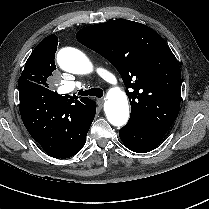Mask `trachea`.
I'll use <instances>...</instances> for the list:
<instances>
[{"label": "trachea", "mask_w": 209, "mask_h": 209, "mask_svg": "<svg viewBox=\"0 0 209 209\" xmlns=\"http://www.w3.org/2000/svg\"><path fill=\"white\" fill-rule=\"evenodd\" d=\"M78 95L80 96H95L101 98L103 96V90L100 88H91L89 90H79Z\"/></svg>", "instance_id": "obj_1"}]
</instances>
